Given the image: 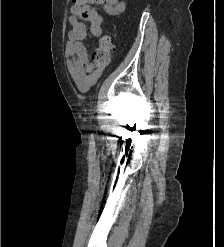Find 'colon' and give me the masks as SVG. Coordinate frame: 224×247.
I'll return each mask as SVG.
<instances>
[{"mask_svg":"<svg viewBox=\"0 0 224 247\" xmlns=\"http://www.w3.org/2000/svg\"><path fill=\"white\" fill-rule=\"evenodd\" d=\"M73 5H79L81 0H71ZM113 50V42L109 36L101 38L98 47L95 49L92 55V62L94 69L102 70L107 67L111 60Z\"/></svg>","mask_w":224,"mask_h":247,"instance_id":"1","label":"colon"}]
</instances>
